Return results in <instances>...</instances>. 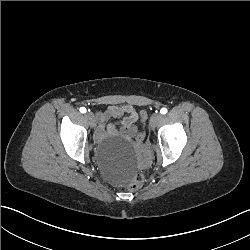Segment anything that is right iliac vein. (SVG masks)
I'll list each match as a JSON object with an SVG mask.
<instances>
[{
    "instance_id": "63e3f726",
    "label": "right iliac vein",
    "mask_w": 250,
    "mask_h": 250,
    "mask_svg": "<svg viewBox=\"0 0 250 250\" xmlns=\"http://www.w3.org/2000/svg\"><path fill=\"white\" fill-rule=\"evenodd\" d=\"M85 118H86V120L88 121V123H89V125H90L91 127H94V126H95L96 120H95V116H94L92 113L87 112V113L85 114Z\"/></svg>"
}]
</instances>
